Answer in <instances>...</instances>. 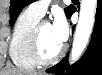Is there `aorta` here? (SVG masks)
<instances>
[{
	"mask_svg": "<svg viewBox=\"0 0 102 75\" xmlns=\"http://www.w3.org/2000/svg\"><path fill=\"white\" fill-rule=\"evenodd\" d=\"M96 7L97 0L81 1L79 21L71 50V62H75L80 58L88 43L94 25Z\"/></svg>",
	"mask_w": 102,
	"mask_h": 75,
	"instance_id": "762f6f07",
	"label": "aorta"
}]
</instances>
